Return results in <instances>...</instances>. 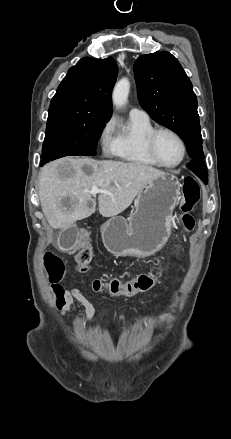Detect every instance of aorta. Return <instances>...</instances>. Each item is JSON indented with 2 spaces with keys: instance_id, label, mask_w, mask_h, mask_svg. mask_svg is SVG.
<instances>
[{
  "instance_id": "1",
  "label": "aorta",
  "mask_w": 231,
  "mask_h": 439,
  "mask_svg": "<svg viewBox=\"0 0 231 439\" xmlns=\"http://www.w3.org/2000/svg\"><path fill=\"white\" fill-rule=\"evenodd\" d=\"M130 91V82L127 78H122L114 87L112 100L116 107H121L126 104Z\"/></svg>"
}]
</instances>
